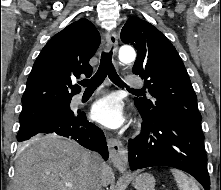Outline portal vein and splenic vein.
<instances>
[{
	"label": "portal vein and splenic vein",
	"instance_id": "18ae733b",
	"mask_svg": "<svg viewBox=\"0 0 221 190\" xmlns=\"http://www.w3.org/2000/svg\"><path fill=\"white\" fill-rule=\"evenodd\" d=\"M66 186L67 187H72V184L71 183H66Z\"/></svg>",
	"mask_w": 221,
	"mask_h": 190
}]
</instances>
